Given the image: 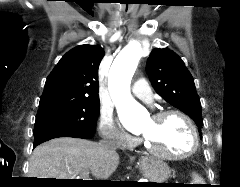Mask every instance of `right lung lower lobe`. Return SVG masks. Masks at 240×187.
Returning a JSON list of instances; mask_svg holds the SVG:
<instances>
[{
  "label": "right lung lower lobe",
  "instance_id": "1",
  "mask_svg": "<svg viewBox=\"0 0 240 187\" xmlns=\"http://www.w3.org/2000/svg\"><path fill=\"white\" fill-rule=\"evenodd\" d=\"M92 136L93 135L84 136V135H80V134H76L68 131H62V130H51L35 136L33 147L35 148L39 144L57 137H74V138L89 139Z\"/></svg>",
  "mask_w": 240,
  "mask_h": 187
}]
</instances>
